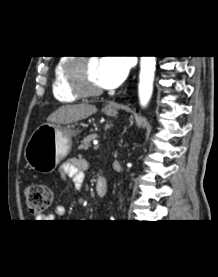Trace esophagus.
Returning a JSON list of instances; mask_svg holds the SVG:
<instances>
[{"instance_id":"34e87169","label":"esophagus","mask_w":218,"mask_h":277,"mask_svg":"<svg viewBox=\"0 0 218 277\" xmlns=\"http://www.w3.org/2000/svg\"><path fill=\"white\" fill-rule=\"evenodd\" d=\"M110 107H112V108H116V107H117V105H116V103L112 102V103H110Z\"/></svg>"}]
</instances>
